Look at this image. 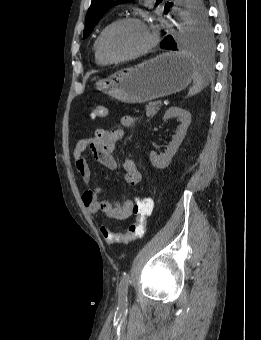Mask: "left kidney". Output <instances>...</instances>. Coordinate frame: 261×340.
Listing matches in <instances>:
<instances>
[{"label":"left kidney","mask_w":261,"mask_h":340,"mask_svg":"<svg viewBox=\"0 0 261 340\" xmlns=\"http://www.w3.org/2000/svg\"><path fill=\"white\" fill-rule=\"evenodd\" d=\"M173 117H177L181 124L178 127L176 134L173 136L172 141L167 146L165 153L157 155V153L154 151L150 152V161L152 165L157 169H163L169 165L180 144L182 143L186 135L188 126L191 123V114L188 111L176 106L169 108L165 112L163 120H167Z\"/></svg>","instance_id":"5707ae66"}]
</instances>
